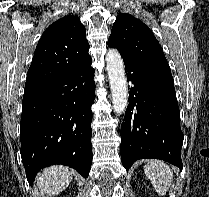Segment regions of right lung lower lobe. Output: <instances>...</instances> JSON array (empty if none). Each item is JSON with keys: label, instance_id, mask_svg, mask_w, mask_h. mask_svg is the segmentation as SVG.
Listing matches in <instances>:
<instances>
[{"label": "right lung lower lobe", "instance_id": "right-lung-lower-lobe-1", "mask_svg": "<svg viewBox=\"0 0 209 197\" xmlns=\"http://www.w3.org/2000/svg\"><path fill=\"white\" fill-rule=\"evenodd\" d=\"M91 57L72 71L26 89L20 123L21 157L32 184L45 166L63 164L87 178L92 163Z\"/></svg>", "mask_w": 209, "mask_h": 197}]
</instances>
